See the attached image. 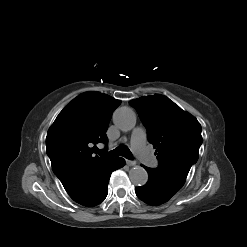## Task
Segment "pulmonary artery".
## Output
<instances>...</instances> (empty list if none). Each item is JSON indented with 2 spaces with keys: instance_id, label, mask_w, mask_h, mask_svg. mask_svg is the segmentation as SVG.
Segmentation results:
<instances>
[{
  "instance_id": "1",
  "label": "pulmonary artery",
  "mask_w": 247,
  "mask_h": 247,
  "mask_svg": "<svg viewBox=\"0 0 247 247\" xmlns=\"http://www.w3.org/2000/svg\"><path fill=\"white\" fill-rule=\"evenodd\" d=\"M131 144L136 155L140 157L148 166H157V159L149 152L146 147V132L143 128L137 127L133 131Z\"/></svg>"
}]
</instances>
